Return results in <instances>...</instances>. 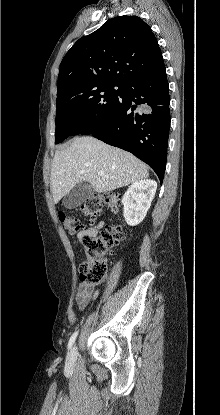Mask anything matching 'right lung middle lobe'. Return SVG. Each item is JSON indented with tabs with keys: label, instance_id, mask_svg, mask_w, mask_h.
Here are the masks:
<instances>
[{
	"label": "right lung middle lobe",
	"instance_id": "dd1d6c3e",
	"mask_svg": "<svg viewBox=\"0 0 220 415\" xmlns=\"http://www.w3.org/2000/svg\"><path fill=\"white\" fill-rule=\"evenodd\" d=\"M114 87H118L115 90ZM122 83L78 84L57 95L55 144L69 136L90 134L108 119Z\"/></svg>",
	"mask_w": 220,
	"mask_h": 415
}]
</instances>
